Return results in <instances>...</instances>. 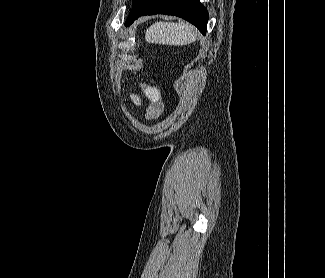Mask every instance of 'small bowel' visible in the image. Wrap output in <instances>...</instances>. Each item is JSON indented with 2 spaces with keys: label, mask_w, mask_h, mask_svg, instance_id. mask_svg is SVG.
<instances>
[{
  "label": "small bowel",
  "mask_w": 325,
  "mask_h": 278,
  "mask_svg": "<svg viewBox=\"0 0 325 278\" xmlns=\"http://www.w3.org/2000/svg\"><path fill=\"white\" fill-rule=\"evenodd\" d=\"M132 99L133 101L137 104L140 105L141 104V98L135 94H132ZM162 107L161 105H151L146 112V118L147 119H155L159 116V114L161 113Z\"/></svg>",
  "instance_id": "obj_1"
}]
</instances>
